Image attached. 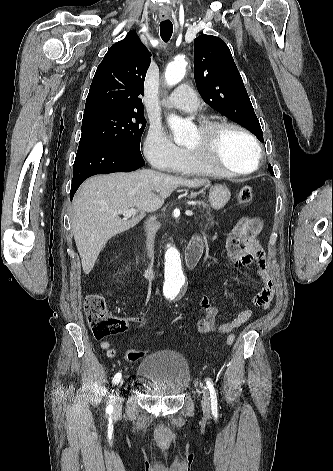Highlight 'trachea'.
Segmentation results:
<instances>
[{"label": "trachea", "mask_w": 333, "mask_h": 471, "mask_svg": "<svg viewBox=\"0 0 333 471\" xmlns=\"http://www.w3.org/2000/svg\"><path fill=\"white\" fill-rule=\"evenodd\" d=\"M173 33V24L170 20H165L160 23V35L164 42H168Z\"/></svg>", "instance_id": "obj_1"}]
</instances>
